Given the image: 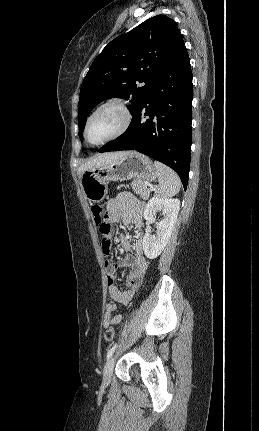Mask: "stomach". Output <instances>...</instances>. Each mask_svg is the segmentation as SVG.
<instances>
[{"label": "stomach", "instance_id": "stomach-1", "mask_svg": "<svg viewBox=\"0 0 259 431\" xmlns=\"http://www.w3.org/2000/svg\"><path fill=\"white\" fill-rule=\"evenodd\" d=\"M157 177L151 159L136 151H129L118 160L107 165L86 170L80 177L81 187L89 202H100L108 193L110 181H125L132 178L151 182Z\"/></svg>", "mask_w": 259, "mask_h": 431}]
</instances>
